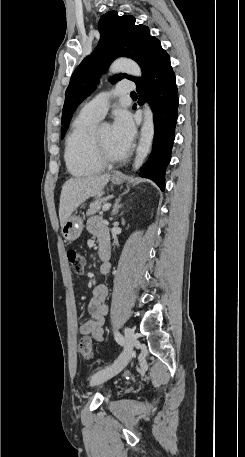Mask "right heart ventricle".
<instances>
[{
  "label": "right heart ventricle",
  "instance_id": "e07e8e85",
  "mask_svg": "<svg viewBox=\"0 0 245 457\" xmlns=\"http://www.w3.org/2000/svg\"><path fill=\"white\" fill-rule=\"evenodd\" d=\"M96 122V119L79 115L71 124L66 137L65 159L68 169L73 175L88 174L101 168L91 163L85 155V141Z\"/></svg>",
  "mask_w": 245,
  "mask_h": 457
}]
</instances>
